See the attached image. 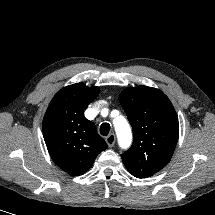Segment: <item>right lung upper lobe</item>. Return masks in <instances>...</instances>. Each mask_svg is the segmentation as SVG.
Segmentation results:
<instances>
[{
	"instance_id": "obj_1",
	"label": "right lung upper lobe",
	"mask_w": 215,
	"mask_h": 215,
	"mask_svg": "<svg viewBox=\"0 0 215 215\" xmlns=\"http://www.w3.org/2000/svg\"><path fill=\"white\" fill-rule=\"evenodd\" d=\"M98 94V87L83 83L66 86L54 96L43 118L48 152L55 164L72 176L86 172L107 148L94 123L84 116Z\"/></svg>"
}]
</instances>
